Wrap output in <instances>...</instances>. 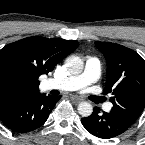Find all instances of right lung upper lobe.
I'll return each mask as SVG.
<instances>
[{
    "mask_svg": "<svg viewBox=\"0 0 145 145\" xmlns=\"http://www.w3.org/2000/svg\"><path fill=\"white\" fill-rule=\"evenodd\" d=\"M78 41L28 37L0 50V104L38 95L39 76L48 74Z\"/></svg>",
    "mask_w": 145,
    "mask_h": 145,
    "instance_id": "cb5924a9",
    "label": "right lung upper lobe"
}]
</instances>
